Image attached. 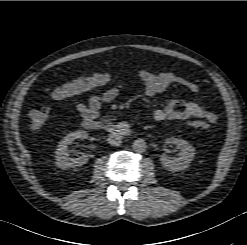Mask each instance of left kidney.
<instances>
[{"instance_id": "1", "label": "left kidney", "mask_w": 247, "mask_h": 245, "mask_svg": "<svg viewBox=\"0 0 247 245\" xmlns=\"http://www.w3.org/2000/svg\"><path fill=\"white\" fill-rule=\"evenodd\" d=\"M165 144L176 145L180 152L178 157H169L163 153L160 158L162 166L173 172L187 169L195 154L194 147L189 142L174 137L167 138Z\"/></svg>"}]
</instances>
